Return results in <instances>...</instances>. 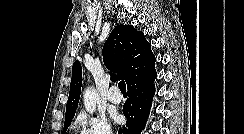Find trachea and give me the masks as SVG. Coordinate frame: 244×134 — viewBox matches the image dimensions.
Returning <instances> with one entry per match:
<instances>
[{
  "label": "trachea",
  "mask_w": 244,
  "mask_h": 134,
  "mask_svg": "<svg viewBox=\"0 0 244 134\" xmlns=\"http://www.w3.org/2000/svg\"><path fill=\"white\" fill-rule=\"evenodd\" d=\"M118 87L121 93L126 94V84L123 80L119 82Z\"/></svg>",
  "instance_id": "obj_1"
}]
</instances>
